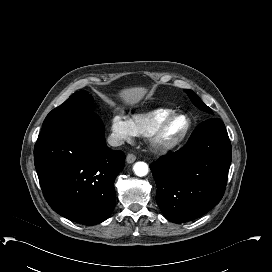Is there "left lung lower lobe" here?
<instances>
[{"label": "left lung lower lobe", "mask_w": 272, "mask_h": 272, "mask_svg": "<svg viewBox=\"0 0 272 272\" xmlns=\"http://www.w3.org/2000/svg\"><path fill=\"white\" fill-rule=\"evenodd\" d=\"M231 143L218 118L200 123L184 147L150 165L156 200L174 223L194 220L221 200L231 163Z\"/></svg>", "instance_id": "obj_1"}]
</instances>
